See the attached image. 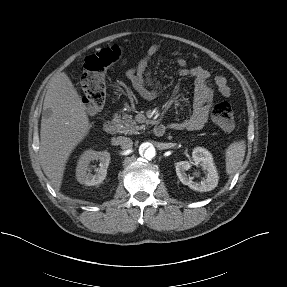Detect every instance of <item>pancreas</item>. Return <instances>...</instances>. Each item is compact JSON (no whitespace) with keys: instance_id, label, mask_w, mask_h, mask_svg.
<instances>
[{"instance_id":"obj_1","label":"pancreas","mask_w":287,"mask_h":287,"mask_svg":"<svg viewBox=\"0 0 287 287\" xmlns=\"http://www.w3.org/2000/svg\"><path fill=\"white\" fill-rule=\"evenodd\" d=\"M118 124V130L124 134H137L144 126H138L136 121L132 119V115L125 114L122 117L115 114L113 119Z\"/></svg>"}]
</instances>
